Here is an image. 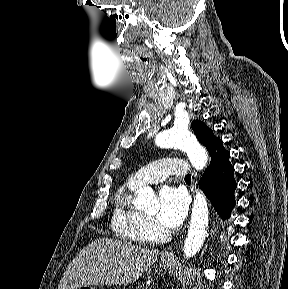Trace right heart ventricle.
<instances>
[{
	"mask_svg": "<svg viewBox=\"0 0 288 289\" xmlns=\"http://www.w3.org/2000/svg\"><path fill=\"white\" fill-rule=\"evenodd\" d=\"M138 186L128 183L115 195L112 215V229L121 239L142 244L148 239L144 235L142 224L143 213L133 203V192Z\"/></svg>",
	"mask_w": 288,
	"mask_h": 289,
	"instance_id": "right-heart-ventricle-1",
	"label": "right heart ventricle"
}]
</instances>
